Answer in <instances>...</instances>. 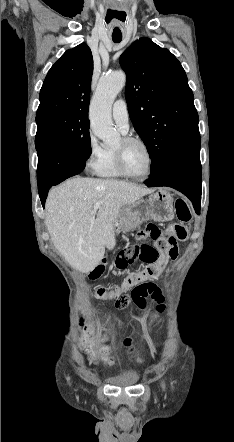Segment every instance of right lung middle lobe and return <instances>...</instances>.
<instances>
[{
	"mask_svg": "<svg viewBox=\"0 0 234 442\" xmlns=\"http://www.w3.org/2000/svg\"><path fill=\"white\" fill-rule=\"evenodd\" d=\"M35 147H64L87 159L91 154L88 113L61 112L36 117Z\"/></svg>",
	"mask_w": 234,
	"mask_h": 442,
	"instance_id": "1",
	"label": "right lung middle lobe"
}]
</instances>
